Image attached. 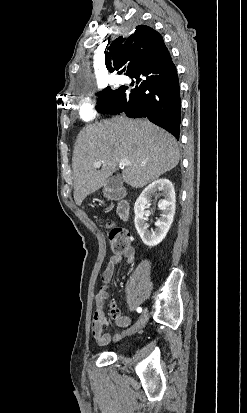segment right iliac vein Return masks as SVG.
<instances>
[{
    "label": "right iliac vein",
    "mask_w": 247,
    "mask_h": 413,
    "mask_svg": "<svg viewBox=\"0 0 247 413\" xmlns=\"http://www.w3.org/2000/svg\"><path fill=\"white\" fill-rule=\"evenodd\" d=\"M147 319H148V313H147V309H145L143 313L141 314L140 318L138 319V321L131 328L124 331V334L128 336L135 334L137 331H139L141 328L144 327V325L147 322Z\"/></svg>",
    "instance_id": "obj_1"
}]
</instances>
